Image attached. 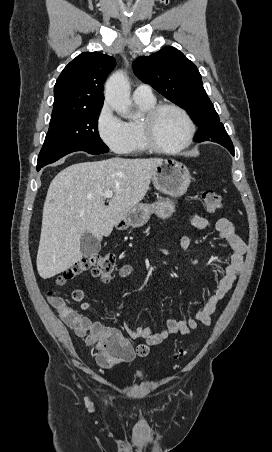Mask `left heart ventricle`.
<instances>
[{"label":"left heart ventricle","mask_w":272,"mask_h":452,"mask_svg":"<svg viewBox=\"0 0 272 452\" xmlns=\"http://www.w3.org/2000/svg\"><path fill=\"white\" fill-rule=\"evenodd\" d=\"M187 126L175 110H162L153 122V137L162 146L174 147L185 138Z\"/></svg>","instance_id":"obj_1"}]
</instances>
